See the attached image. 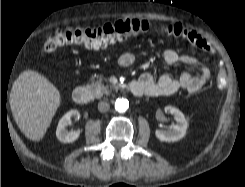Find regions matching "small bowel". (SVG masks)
I'll return each mask as SVG.
<instances>
[{
	"mask_svg": "<svg viewBox=\"0 0 245 187\" xmlns=\"http://www.w3.org/2000/svg\"><path fill=\"white\" fill-rule=\"evenodd\" d=\"M163 59L170 65L184 63L193 67L196 72L186 71L178 78H173L169 74H163L157 80L151 74L144 73L137 80L144 88V95L168 96L181 89L194 94L208 84L211 77L210 70L195 57L188 54H181L174 49L168 48L163 51ZM134 61L135 57L130 52L121 54L118 59V63L122 67H130Z\"/></svg>",
	"mask_w": 245,
	"mask_h": 187,
	"instance_id": "obj_1",
	"label": "small bowel"
}]
</instances>
